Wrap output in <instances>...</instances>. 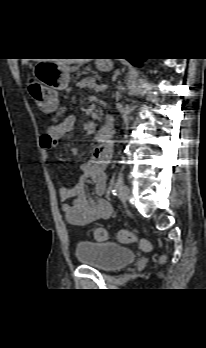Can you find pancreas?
Returning <instances> with one entry per match:
<instances>
[{"instance_id": "pancreas-1", "label": "pancreas", "mask_w": 206, "mask_h": 348, "mask_svg": "<svg viewBox=\"0 0 206 348\" xmlns=\"http://www.w3.org/2000/svg\"><path fill=\"white\" fill-rule=\"evenodd\" d=\"M96 77H87L82 79L79 83H77V86L79 88H88V89H93L96 87L95 84Z\"/></svg>"}]
</instances>
